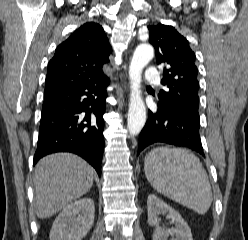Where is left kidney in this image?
Returning <instances> with one entry per match:
<instances>
[{"mask_svg":"<svg viewBox=\"0 0 248 240\" xmlns=\"http://www.w3.org/2000/svg\"><path fill=\"white\" fill-rule=\"evenodd\" d=\"M148 223L155 227L153 240H168L171 235L172 240H193L191 229L182 216L172 207L164 203L155 195H149L147 199ZM166 215L175 224V228L163 229L159 226V215Z\"/></svg>","mask_w":248,"mask_h":240,"instance_id":"obj_1","label":"left kidney"}]
</instances>
